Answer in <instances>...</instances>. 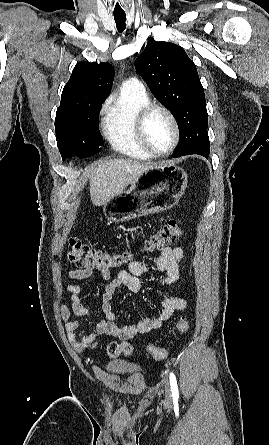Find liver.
<instances>
[{"label": "liver", "instance_id": "obj_1", "mask_svg": "<svg viewBox=\"0 0 269 445\" xmlns=\"http://www.w3.org/2000/svg\"><path fill=\"white\" fill-rule=\"evenodd\" d=\"M153 166L154 164L140 163L130 159H114L94 164L90 176L92 203L96 206L105 205Z\"/></svg>", "mask_w": 269, "mask_h": 445}]
</instances>
